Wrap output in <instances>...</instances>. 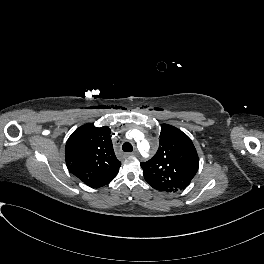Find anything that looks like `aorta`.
Instances as JSON below:
<instances>
[{"label":"aorta","instance_id":"aorta-1","mask_svg":"<svg viewBox=\"0 0 264 264\" xmlns=\"http://www.w3.org/2000/svg\"><path fill=\"white\" fill-rule=\"evenodd\" d=\"M144 144H145V142H144V141H142V142H141V145L143 146Z\"/></svg>","mask_w":264,"mask_h":264}]
</instances>
